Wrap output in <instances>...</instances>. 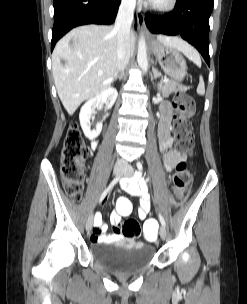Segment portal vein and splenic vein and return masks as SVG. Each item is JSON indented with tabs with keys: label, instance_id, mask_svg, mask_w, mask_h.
<instances>
[{
	"label": "portal vein and splenic vein",
	"instance_id": "1",
	"mask_svg": "<svg viewBox=\"0 0 247 304\" xmlns=\"http://www.w3.org/2000/svg\"><path fill=\"white\" fill-rule=\"evenodd\" d=\"M168 81H169L168 78H164L163 83H166V82H168Z\"/></svg>",
	"mask_w": 247,
	"mask_h": 304
}]
</instances>
